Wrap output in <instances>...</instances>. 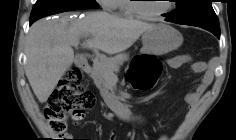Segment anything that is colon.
Returning a JSON list of instances; mask_svg holds the SVG:
<instances>
[{
	"label": "colon",
	"mask_w": 236,
	"mask_h": 140,
	"mask_svg": "<svg viewBox=\"0 0 236 140\" xmlns=\"http://www.w3.org/2000/svg\"><path fill=\"white\" fill-rule=\"evenodd\" d=\"M160 61L150 56L135 57L127 71L130 85L140 91L152 89L161 74ZM96 104L95 95L85 87L79 69H69L61 78L45 107V116L58 134L66 130L68 117L80 120Z\"/></svg>",
	"instance_id": "5ec220e1"
}]
</instances>
